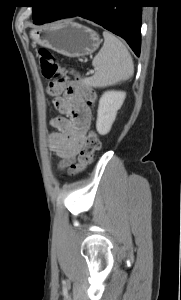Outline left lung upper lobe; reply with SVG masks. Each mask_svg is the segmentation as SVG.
<instances>
[{
    "label": "left lung upper lobe",
    "mask_w": 181,
    "mask_h": 300,
    "mask_svg": "<svg viewBox=\"0 0 181 300\" xmlns=\"http://www.w3.org/2000/svg\"><path fill=\"white\" fill-rule=\"evenodd\" d=\"M57 0H33L32 7L33 21L37 25H41L55 11ZM48 4V5H47Z\"/></svg>",
    "instance_id": "left-lung-upper-lobe-1"
}]
</instances>
